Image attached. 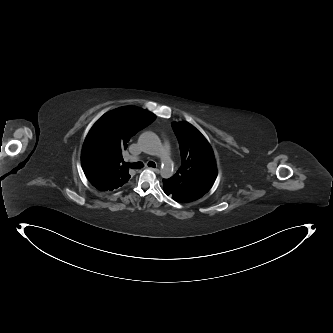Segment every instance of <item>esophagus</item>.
I'll list each match as a JSON object with an SVG mask.
<instances>
[{"mask_svg": "<svg viewBox=\"0 0 333 333\" xmlns=\"http://www.w3.org/2000/svg\"><path fill=\"white\" fill-rule=\"evenodd\" d=\"M149 168L157 174L160 173V169H158V168H152V167H149Z\"/></svg>", "mask_w": 333, "mask_h": 333, "instance_id": "esophagus-1", "label": "esophagus"}]
</instances>
